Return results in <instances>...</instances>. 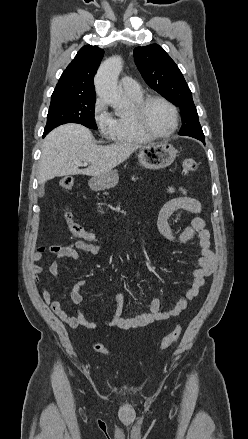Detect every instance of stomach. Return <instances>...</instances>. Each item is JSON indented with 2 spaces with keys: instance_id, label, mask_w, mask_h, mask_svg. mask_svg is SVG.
Listing matches in <instances>:
<instances>
[{
  "instance_id": "0dacf381",
  "label": "stomach",
  "mask_w": 248,
  "mask_h": 439,
  "mask_svg": "<svg viewBox=\"0 0 248 439\" xmlns=\"http://www.w3.org/2000/svg\"><path fill=\"white\" fill-rule=\"evenodd\" d=\"M178 151L168 142L152 143L141 146L138 152L139 163L152 170L163 169L170 166L177 157ZM119 175L117 171L111 170L89 180L92 190H105L117 185Z\"/></svg>"
}]
</instances>
